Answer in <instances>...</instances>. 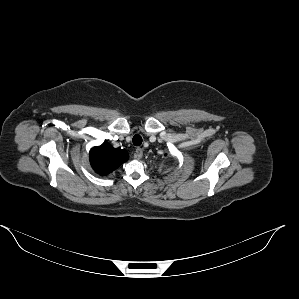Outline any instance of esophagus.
I'll return each mask as SVG.
<instances>
[{
	"instance_id": "obj_1",
	"label": "esophagus",
	"mask_w": 299,
	"mask_h": 299,
	"mask_svg": "<svg viewBox=\"0 0 299 299\" xmlns=\"http://www.w3.org/2000/svg\"><path fill=\"white\" fill-rule=\"evenodd\" d=\"M134 156H135L136 159L142 158V156H143V150H142V148L138 147L136 149V151H135Z\"/></svg>"
}]
</instances>
